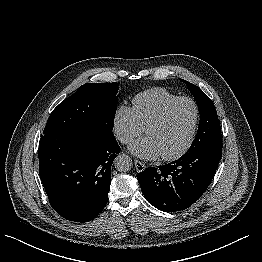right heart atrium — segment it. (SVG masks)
Wrapping results in <instances>:
<instances>
[{"instance_id": "1", "label": "right heart atrium", "mask_w": 262, "mask_h": 262, "mask_svg": "<svg viewBox=\"0 0 262 262\" xmlns=\"http://www.w3.org/2000/svg\"><path fill=\"white\" fill-rule=\"evenodd\" d=\"M112 127L115 137L122 144H129L144 132L133 109L127 105H120L116 108Z\"/></svg>"}]
</instances>
